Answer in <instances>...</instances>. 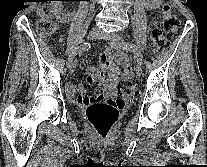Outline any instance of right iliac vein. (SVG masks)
<instances>
[{"mask_svg": "<svg viewBox=\"0 0 207 167\" xmlns=\"http://www.w3.org/2000/svg\"><path fill=\"white\" fill-rule=\"evenodd\" d=\"M100 36H101L100 30L98 28H93L89 32L87 38H88V40H93V39L98 38ZM68 68H69L70 73H73V71L76 68V63L75 62H72Z\"/></svg>", "mask_w": 207, "mask_h": 167, "instance_id": "right-iliac-vein-1", "label": "right iliac vein"}]
</instances>
